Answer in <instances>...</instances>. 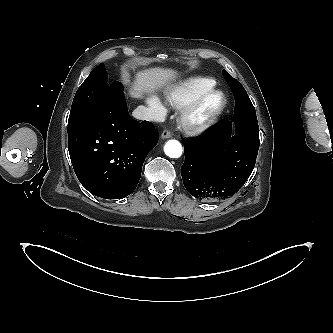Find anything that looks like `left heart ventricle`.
I'll return each mask as SVG.
<instances>
[{
    "label": "left heart ventricle",
    "mask_w": 333,
    "mask_h": 333,
    "mask_svg": "<svg viewBox=\"0 0 333 333\" xmlns=\"http://www.w3.org/2000/svg\"><path fill=\"white\" fill-rule=\"evenodd\" d=\"M213 101L212 100H209L206 104V108L210 107L212 105Z\"/></svg>",
    "instance_id": "obj_1"
}]
</instances>
